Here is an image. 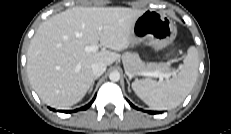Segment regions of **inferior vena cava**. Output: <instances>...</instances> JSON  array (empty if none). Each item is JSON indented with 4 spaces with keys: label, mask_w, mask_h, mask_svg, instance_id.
Returning <instances> with one entry per match:
<instances>
[{
    "label": "inferior vena cava",
    "mask_w": 231,
    "mask_h": 134,
    "mask_svg": "<svg viewBox=\"0 0 231 134\" xmlns=\"http://www.w3.org/2000/svg\"><path fill=\"white\" fill-rule=\"evenodd\" d=\"M92 73L95 77L101 76L106 70V64L102 62H96L91 66Z\"/></svg>",
    "instance_id": "602c4592"
}]
</instances>
